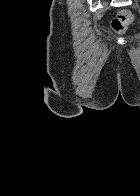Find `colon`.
Instances as JSON below:
<instances>
[{
  "instance_id": "1",
  "label": "colon",
  "mask_w": 140,
  "mask_h": 196,
  "mask_svg": "<svg viewBox=\"0 0 140 196\" xmlns=\"http://www.w3.org/2000/svg\"><path fill=\"white\" fill-rule=\"evenodd\" d=\"M134 15L130 10H121L111 20V28L118 34H123L128 26L133 22Z\"/></svg>"
}]
</instances>
